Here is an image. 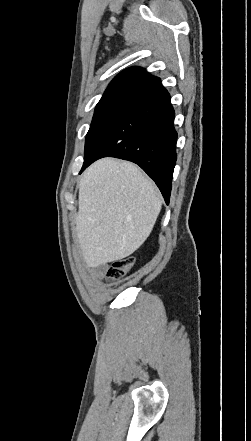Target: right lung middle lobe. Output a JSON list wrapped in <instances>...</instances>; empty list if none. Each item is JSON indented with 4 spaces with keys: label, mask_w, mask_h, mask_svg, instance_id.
Masks as SVG:
<instances>
[{
    "label": "right lung middle lobe",
    "mask_w": 251,
    "mask_h": 441,
    "mask_svg": "<svg viewBox=\"0 0 251 441\" xmlns=\"http://www.w3.org/2000/svg\"><path fill=\"white\" fill-rule=\"evenodd\" d=\"M134 103L129 100L99 101L86 136L84 160L105 131Z\"/></svg>",
    "instance_id": "1"
}]
</instances>
